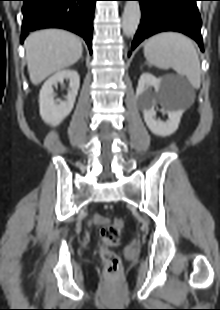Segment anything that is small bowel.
<instances>
[{"instance_id": "1", "label": "small bowel", "mask_w": 220, "mask_h": 310, "mask_svg": "<svg viewBox=\"0 0 220 310\" xmlns=\"http://www.w3.org/2000/svg\"><path fill=\"white\" fill-rule=\"evenodd\" d=\"M105 221L106 219L100 215H94L93 217V223L97 226L102 225Z\"/></svg>"}]
</instances>
